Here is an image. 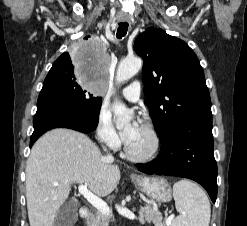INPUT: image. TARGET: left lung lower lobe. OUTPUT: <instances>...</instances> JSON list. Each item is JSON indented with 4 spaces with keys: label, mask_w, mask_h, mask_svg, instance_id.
Returning <instances> with one entry per match:
<instances>
[{
    "label": "left lung lower lobe",
    "mask_w": 247,
    "mask_h": 226,
    "mask_svg": "<svg viewBox=\"0 0 247 226\" xmlns=\"http://www.w3.org/2000/svg\"><path fill=\"white\" fill-rule=\"evenodd\" d=\"M161 144L158 159L149 165H139L138 170L147 174L192 179L206 189L215 203L217 165L214 158L212 115L193 117Z\"/></svg>",
    "instance_id": "0a47b994"
}]
</instances>
